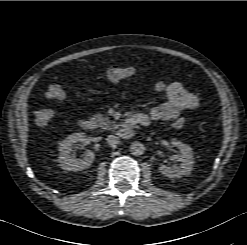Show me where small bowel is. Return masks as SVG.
I'll return each mask as SVG.
<instances>
[{"mask_svg":"<svg viewBox=\"0 0 247 245\" xmlns=\"http://www.w3.org/2000/svg\"><path fill=\"white\" fill-rule=\"evenodd\" d=\"M154 89L165 93L167 99L153 107L148 114L135 113L142 119L141 125H149L156 121H175L182 111L199 110L201 107L197 95L188 91L179 80L159 81Z\"/></svg>","mask_w":247,"mask_h":245,"instance_id":"1","label":"small bowel"}]
</instances>
